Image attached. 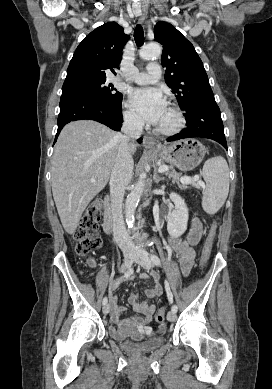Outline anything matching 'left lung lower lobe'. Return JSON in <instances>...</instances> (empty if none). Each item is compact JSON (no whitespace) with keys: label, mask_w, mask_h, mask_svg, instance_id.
I'll use <instances>...</instances> for the list:
<instances>
[{"label":"left lung lower lobe","mask_w":272,"mask_h":389,"mask_svg":"<svg viewBox=\"0 0 272 389\" xmlns=\"http://www.w3.org/2000/svg\"><path fill=\"white\" fill-rule=\"evenodd\" d=\"M185 119L187 127L180 133L169 137L167 142L203 137L217 141L227 150L220 109L214 96L205 98L191 107L186 112Z\"/></svg>","instance_id":"0a47b994"}]
</instances>
